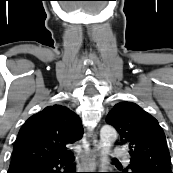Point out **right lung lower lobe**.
I'll use <instances>...</instances> for the list:
<instances>
[{"label":"right lung lower lobe","instance_id":"1","mask_svg":"<svg viewBox=\"0 0 173 173\" xmlns=\"http://www.w3.org/2000/svg\"><path fill=\"white\" fill-rule=\"evenodd\" d=\"M73 154L68 155L67 157L49 161L34 163L28 165H21L13 168H9L8 173H61L59 170L61 167H64L65 173H76L75 164H69L72 161Z\"/></svg>","mask_w":173,"mask_h":173}]
</instances>
